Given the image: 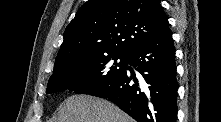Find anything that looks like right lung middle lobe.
<instances>
[{
	"label": "right lung middle lobe",
	"instance_id": "obj_1",
	"mask_svg": "<svg viewBox=\"0 0 221 122\" xmlns=\"http://www.w3.org/2000/svg\"><path fill=\"white\" fill-rule=\"evenodd\" d=\"M128 59L127 55L111 54L71 66L50 77L46 93L69 89L77 94H91L119 77L125 71Z\"/></svg>",
	"mask_w": 221,
	"mask_h": 122
}]
</instances>
